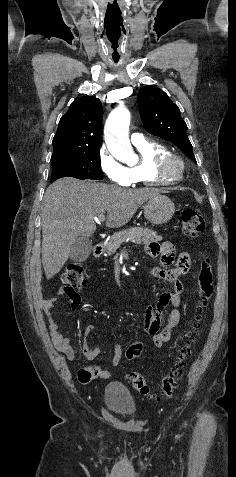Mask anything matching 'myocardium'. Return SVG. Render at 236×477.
I'll list each match as a JSON object with an SVG mask.
<instances>
[{
    "label": "myocardium",
    "instance_id": "myocardium-1",
    "mask_svg": "<svg viewBox=\"0 0 236 477\" xmlns=\"http://www.w3.org/2000/svg\"><path fill=\"white\" fill-rule=\"evenodd\" d=\"M184 171V159L174 153L161 154L154 159L152 164L153 174L165 182L179 180Z\"/></svg>",
    "mask_w": 236,
    "mask_h": 477
}]
</instances>
